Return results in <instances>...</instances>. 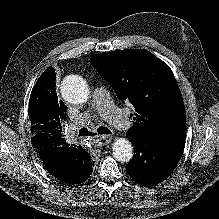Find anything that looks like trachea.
<instances>
[{"label":"trachea","instance_id":"3493384b","mask_svg":"<svg viewBox=\"0 0 219 219\" xmlns=\"http://www.w3.org/2000/svg\"><path fill=\"white\" fill-rule=\"evenodd\" d=\"M97 133L100 135L111 134V131L107 127H99ZM96 133L88 131L86 128H82L79 131V136H94Z\"/></svg>","mask_w":219,"mask_h":219}]
</instances>
